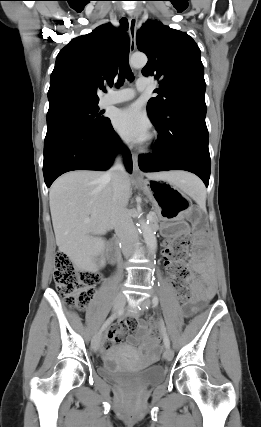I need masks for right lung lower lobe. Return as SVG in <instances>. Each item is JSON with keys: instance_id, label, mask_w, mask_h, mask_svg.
Masks as SVG:
<instances>
[{"instance_id": "98d812e1", "label": "right lung lower lobe", "mask_w": 261, "mask_h": 427, "mask_svg": "<svg viewBox=\"0 0 261 427\" xmlns=\"http://www.w3.org/2000/svg\"><path fill=\"white\" fill-rule=\"evenodd\" d=\"M121 148L126 168L131 172V154L122 146L110 122L100 127L74 122L50 125L44 141L45 183L50 187L57 177L72 170H106Z\"/></svg>"}]
</instances>
